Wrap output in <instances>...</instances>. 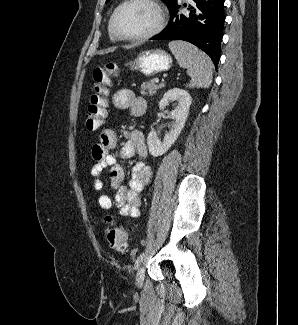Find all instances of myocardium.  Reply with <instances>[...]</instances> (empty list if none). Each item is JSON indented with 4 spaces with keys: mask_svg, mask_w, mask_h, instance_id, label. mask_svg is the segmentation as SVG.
Returning <instances> with one entry per match:
<instances>
[{
    "mask_svg": "<svg viewBox=\"0 0 298 325\" xmlns=\"http://www.w3.org/2000/svg\"><path fill=\"white\" fill-rule=\"evenodd\" d=\"M130 5H143V6L148 7L153 12V14L155 16V23L148 31L144 32L143 34H141L135 38H132V39H124L117 32L116 19H117L119 12L123 8L130 6ZM163 24H164L163 14H162L160 7L156 3H154L151 0H128V1H125L122 4H120L115 9L114 13L112 14L111 19H110V31H111V34L113 35V37L116 39V41H118L120 43H124V44L138 43V42L148 40V39L152 38L153 36H155L156 34H158L162 30Z\"/></svg>",
    "mask_w": 298,
    "mask_h": 325,
    "instance_id": "myocardium-1",
    "label": "myocardium"
}]
</instances>
